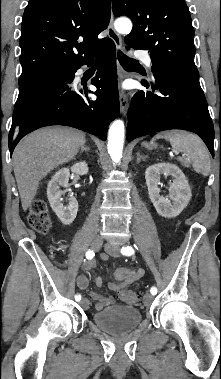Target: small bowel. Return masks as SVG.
Returning a JSON list of instances; mask_svg holds the SVG:
<instances>
[{"label": "small bowel", "instance_id": "obj_1", "mask_svg": "<svg viewBox=\"0 0 221 379\" xmlns=\"http://www.w3.org/2000/svg\"><path fill=\"white\" fill-rule=\"evenodd\" d=\"M95 268V262L93 260H87L83 264L84 270H92ZM144 269H127L119 268L114 271L113 277L114 281L109 283V288L119 294L121 291H124L126 287L134 283L135 281L140 280L144 276ZM102 278L98 276L95 281L96 289L102 287ZM77 285L80 289H86L89 286V279L86 275H80L77 278ZM90 297L95 301V309L102 310L108 305H111L114 302L112 296H103L100 295L97 291H91Z\"/></svg>", "mask_w": 221, "mask_h": 379}]
</instances>
